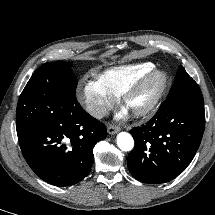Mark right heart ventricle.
Listing matches in <instances>:
<instances>
[{
	"mask_svg": "<svg viewBox=\"0 0 215 215\" xmlns=\"http://www.w3.org/2000/svg\"><path fill=\"white\" fill-rule=\"evenodd\" d=\"M154 68L150 62L113 66L103 70L96 78L116 96L137 78Z\"/></svg>",
	"mask_w": 215,
	"mask_h": 215,
	"instance_id": "obj_1",
	"label": "right heart ventricle"
}]
</instances>
